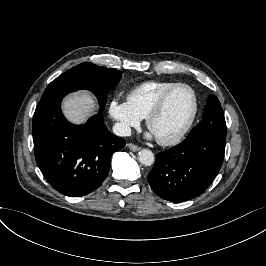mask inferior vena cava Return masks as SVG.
I'll use <instances>...</instances> for the list:
<instances>
[{"label":"inferior vena cava","instance_id":"inferior-vena-cava-1","mask_svg":"<svg viewBox=\"0 0 266 266\" xmlns=\"http://www.w3.org/2000/svg\"><path fill=\"white\" fill-rule=\"evenodd\" d=\"M113 133L120 137L131 136V128L123 123H115Z\"/></svg>","mask_w":266,"mask_h":266}]
</instances>
